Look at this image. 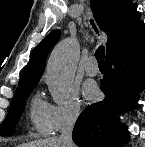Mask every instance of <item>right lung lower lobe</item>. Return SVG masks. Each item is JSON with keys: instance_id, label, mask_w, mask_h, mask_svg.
I'll return each instance as SVG.
<instances>
[{"instance_id": "1", "label": "right lung lower lobe", "mask_w": 145, "mask_h": 147, "mask_svg": "<svg viewBox=\"0 0 145 147\" xmlns=\"http://www.w3.org/2000/svg\"><path fill=\"white\" fill-rule=\"evenodd\" d=\"M100 83L105 98L79 115L72 139L79 147H122L128 131L117 115L129 110L145 87L144 23L106 54Z\"/></svg>"}]
</instances>
